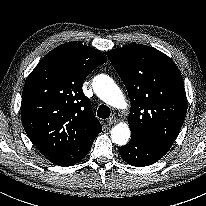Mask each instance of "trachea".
<instances>
[{
  "instance_id": "3493384b",
  "label": "trachea",
  "mask_w": 206,
  "mask_h": 206,
  "mask_svg": "<svg viewBox=\"0 0 206 206\" xmlns=\"http://www.w3.org/2000/svg\"><path fill=\"white\" fill-rule=\"evenodd\" d=\"M110 108L106 105H100L97 110V116L102 119H106L110 116Z\"/></svg>"
}]
</instances>
